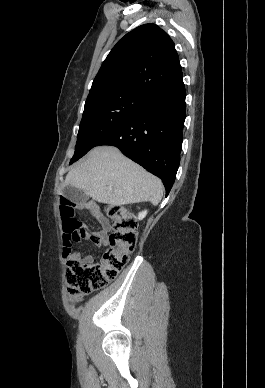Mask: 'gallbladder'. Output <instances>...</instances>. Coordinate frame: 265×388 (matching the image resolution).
<instances>
[{
	"label": "gallbladder",
	"mask_w": 265,
	"mask_h": 388,
	"mask_svg": "<svg viewBox=\"0 0 265 388\" xmlns=\"http://www.w3.org/2000/svg\"><path fill=\"white\" fill-rule=\"evenodd\" d=\"M63 196L65 198H68L70 202H73V204H85L88 200L87 194H84L82 190H79V188H73V186H65L64 190H62Z\"/></svg>",
	"instance_id": "gallbladder-1"
}]
</instances>
